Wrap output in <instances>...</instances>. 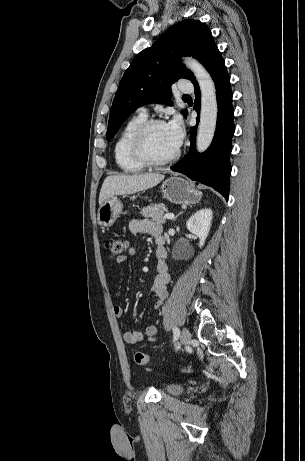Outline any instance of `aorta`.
<instances>
[{"label":"aorta","instance_id":"obj_1","mask_svg":"<svg viewBox=\"0 0 305 461\" xmlns=\"http://www.w3.org/2000/svg\"><path fill=\"white\" fill-rule=\"evenodd\" d=\"M184 63L194 73L201 90V111L196 146L198 152H204L210 146L216 129L218 105L215 84L197 60L186 58Z\"/></svg>","mask_w":305,"mask_h":461}]
</instances>
